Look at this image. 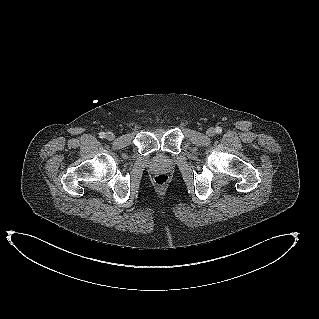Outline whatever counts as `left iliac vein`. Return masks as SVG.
I'll return each mask as SVG.
<instances>
[{
  "instance_id": "obj_1",
  "label": "left iliac vein",
  "mask_w": 319,
  "mask_h": 319,
  "mask_svg": "<svg viewBox=\"0 0 319 319\" xmlns=\"http://www.w3.org/2000/svg\"><path fill=\"white\" fill-rule=\"evenodd\" d=\"M215 134V129L214 128H209L208 130H207V135L208 136H213Z\"/></svg>"
}]
</instances>
